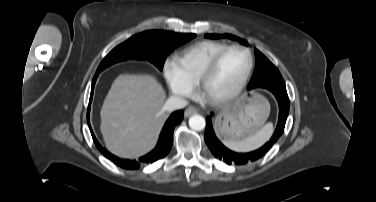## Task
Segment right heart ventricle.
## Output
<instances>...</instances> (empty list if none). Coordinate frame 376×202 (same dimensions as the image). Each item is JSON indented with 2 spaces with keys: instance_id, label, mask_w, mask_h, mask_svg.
Returning <instances> with one entry per match:
<instances>
[{
  "instance_id": "obj_1",
  "label": "right heart ventricle",
  "mask_w": 376,
  "mask_h": 202,
  "mask_svg": "<svg viewBox=\"0 0 376 202\" xmlns=\"http://www.w3.org/2000/svg\"><path fill=\"white\" fill-rule=\"evenodd\" d=\"M227 46L218 41H201L177 53L174 60L183 78L194 87L206 65Z\"/></svg>"
}]
</instances>
